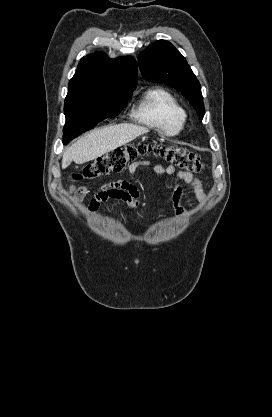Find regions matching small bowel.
Masks as SVG:
<instances>
[{"label":"small bowel","mask_w":272,"mask_h":417,"mask_svg":"<svg viewBox=\"0 0 272 417\" xmlns=\"http://www.w3.org/2000/svg\"><path fill=\"white\" fill-rule=\"evenodd\" d=\"M152 167L156 174H163L167 176L176 177L180 182L173 186L172 201L176 209L178 218H182L185 214L182 207V200L184 197V185L192 189L196 198L203 201L205 198L204 186L201 180L195 177L192 173L179 171L174 166H167L162 164L152 165L150 161L142 160L131 163L128 167V172L131 175H136L140 167ZM90 193L87 187H74L69 190V194L75 201H80ZM110 199H119L126 202L129 207L135 208L139 203V191L136 186L126 181H116L102 186L92 197L88 206V213L94 214L99 208L100 204Z\"/></svg>","instance_id":"c3829d8e"}]
</instances>
